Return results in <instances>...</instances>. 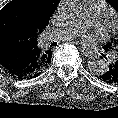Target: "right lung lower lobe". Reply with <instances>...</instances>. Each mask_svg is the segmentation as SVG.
<instances>
[{"mask_svg": "<svg viewBox=\"0 0 118 118\" xmlns=\"http://www.w3.org/2000/svg\"><path fill=\"white\" fill-rule=\"evenodd\" d=\"M36 52L14 42L0 45V65L11 76L17 79L33 78L41 72L35 70Z\"/></svg>", "mask_w": 118, "mask_h": 118, "instance_id": "98d812e1", "label": "right lung lower lobe"}]
</instances>
